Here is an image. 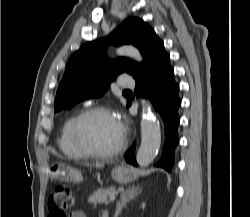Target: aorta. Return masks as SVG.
I'll use <instances>...</instances> for the list:
<instances>
[{
    "instance_id": "aorta-1",
    "label": "aorta",
    "mask_w": 250,
    "mask_h": 217,
    "mask_svg": "<svg viewBox=\"0 0 250 217\" xmlns=\"http://www.w3.org/2000/svg\"><path fill=\"white\" fill-rule=\"evenodd\" d=\"M122 56H128L141 62L142 56L139 50L133 46H123L117 50ZM161 143L160 125L148 106L143 108L141 118V145L136 155L139 166H148L156 157Z\"/></svg>"
}]
</instances>
